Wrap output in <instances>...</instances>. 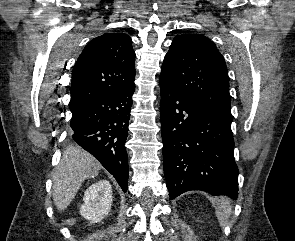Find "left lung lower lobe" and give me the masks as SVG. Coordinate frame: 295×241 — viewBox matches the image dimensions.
<instances>
[{
    "mask_svg": "<svg viewBox=\"0 0 295 241\" xmlns=\"http://www.w3.org/2000/svg\"><path fill=\"white\" fill-rule=\"evenodd\" d=\"M164 173L173 199L190 190L238 197L229 118L195 102L160 77Z\"/></svg>",
    "mask_w": 295,
    "mask_h": 241,
    "instance_id": "left-lung-lower-lobe-1",
    "label": "left lung lower lobe"
}]
</instances>
